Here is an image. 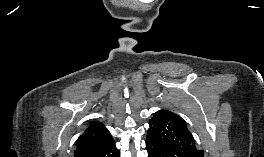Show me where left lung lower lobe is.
I'll return each mask as SVG.
<instances>
[{"instance_id": "1", "label": "left lung lower lobe", "mask_w": 264, "mask_h": 157, "mask_svg": "<svg viewBox=\"0 0 264 157\" xmlns=\"http://www.w3.org/2000/svg\"><path fill=\"white\" fill-rule=\"evenodd\" d=\"M146 150L148 151V157H169L164 147L148 140H146Z\"/></svg>"}]
</instances>
